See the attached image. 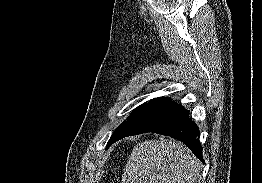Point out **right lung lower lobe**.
<instances>
[{"mask_svg":"<svg viewBox=\"0 0 262 183\" xmlns=\"http://www.w3.org/2000/svg\"><path fill=\"white\" fill-rule=\"evenodd\" d=\"M147 132L167 135L183 142L203 162L197 125L189 118L188 110L166 97L151 100L107 148L124 137Z\"/></svg>","mask_w":262,"mask_h":183,"instance_id":"right-lung-lower-lobe-1","label":"right lung lower lobe"}]
</instances>
